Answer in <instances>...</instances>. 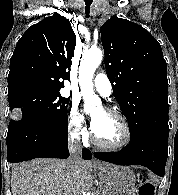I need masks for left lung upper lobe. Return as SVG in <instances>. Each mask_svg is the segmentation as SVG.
Wrapping results in <instances>:
<instances>
[{
    "mask_svg": "<svg viewBox=\"0 0 178 195\" xmlns=\"http://www.w3.org/2000/svg\"><path fill=\"white\" fill-rule=\"evenodd\" d=\"M100 32L106 73L130 125V138L169 129L167 64L159 42L142 26L117 17Z\"/></svg>",
    "mask_w": 178,
    "mask_h": 195,
    "instance_id": "obj_1",
    "label": "left lung upper lobe"
}]
</instances>
